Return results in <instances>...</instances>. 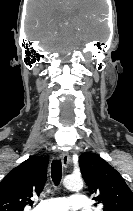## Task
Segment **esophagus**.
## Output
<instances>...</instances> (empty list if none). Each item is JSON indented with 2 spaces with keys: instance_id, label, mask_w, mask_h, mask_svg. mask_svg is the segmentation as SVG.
<instances>
[{
  "instance_id": "34e87169",
  "label": "esophagus",
  "mask_w": 133,
  "mask_h": 211,
  "mask_svg": "<svg viewBox=\"0 0 133 211\" xmlns=\"http://www.w3.org/2000/svg\"><path fill=\"white\" fill-rule=\"evenodd\" d=\"M60 158H61V161H62V165L64 167H67V165L69 164V161H70L69 155L66 152H61Z\"/></svg>"
}]
</instances>
